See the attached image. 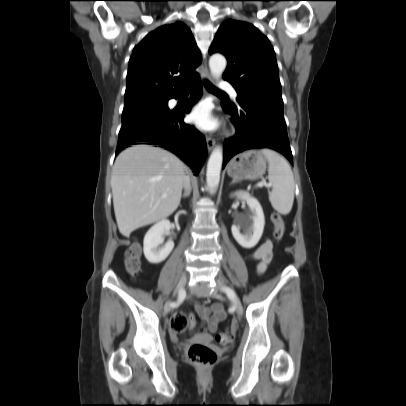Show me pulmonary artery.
Returning a JSON list of instances; mask_svg holds the SVG:
<instances>
[{"mask_svg": "<svg viewBox=\"0 0 406 406\" xmlns=\"http://www.w3.org/2000/svg\"><path fill=\"white\" fill-rule=\"evenodd\" d=\"M219 88L222 90H226L228 91L234 98L237 97V92L235 91V89L230 85V83L228 81H221L219 83Z\"/></svg>", "mask_w": 406, "mask_h": 406, "instance_id": "1", "label": "pulmonary artery"}]
</instances>
